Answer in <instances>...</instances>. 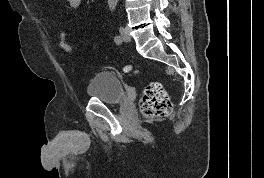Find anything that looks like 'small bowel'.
I'll return each mask as SVG.
<instances>
[{
	"instance_id": "obj_1",
	"label": "small bowel",
	"mask_w": 264,
	"mask_h": 178,
	"mask_svg": "<svg viewBox=\"0 0 264 178\" xmlns=\"http://www.w3.org/2000/svg\"><path fill=\"white\" fill-rule=\"evenodd\" d=\"M70 9L73 10V11H76L79 9L81 3H82V0H66Z\"/></svg>"
}]
</instances>
